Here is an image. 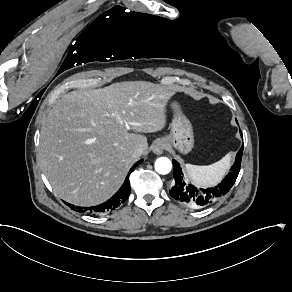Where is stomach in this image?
<instances>
[{"mask_svg":"<svg viewBox=\"0 0 292 292\" xmlns=\"http://www.w3.org/2000/svg\"><path fill=\"white\" fill-rule=\"evenodd\" d=\"M172 132L165 138L181 151L187 152L193 145V134L189 121L182 115H177L171 124Z\"/></svg>","mask_w":292,"mask_h":292,"instance_id":"0dacf381","label":"stomach"}]
</instances>
